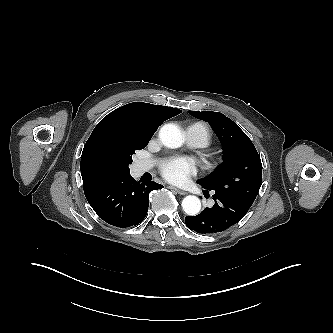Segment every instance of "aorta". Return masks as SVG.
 <instances>
[{"mask_svg": "<svg viewBox=\"0 0 333 333\" xmlns=\"http://www.w3.org/2000/svg\"><path fill=\"white\" fill-rule=\"evenodd\" d=\"M161 142L168 148H179L184 142L181 130L175 124H165L159 131ZM182 207L186 214L195 216L201 209V201L198 197L189 195L182 201Z\"/></svg>", "mask_w": 333, "mask_h": 333, "instance_id": "1", "label": "aorta"}]
</instances>
